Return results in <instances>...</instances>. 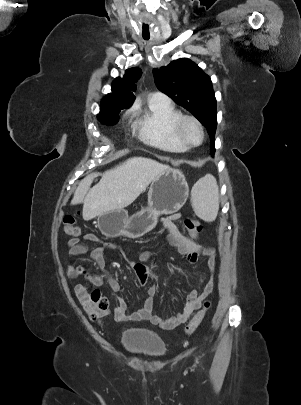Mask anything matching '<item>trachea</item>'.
Masks as SVG:
<instances>
[{
    "label": "trachea",
    "mask_w": 301,
    "mask_h": 405,
    "mask_svg": "<svg viewBox=\"0 0 301 405\" xmlns=\"http://www.w3.org/2000/svg\"><path fill=\"white\" fill-rule=\"evenodd\" d=\"M144 39H145V40H148V39H149V37H147V38L145 37Z\"/></svg>",
    "instance_id": "obj_1"
}]
</instances>
